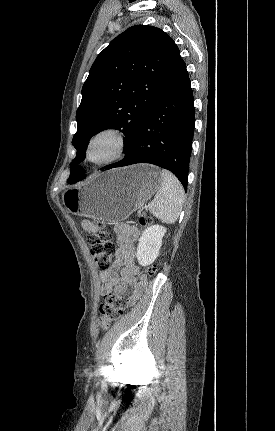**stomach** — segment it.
Masks as SVG:
<instances>
[{"label":"stomach","instance_id":"stomach-1","mask_svg":"<svg viewBox=\"0 0 275 431\" xmlns=\"http://www.w3.org/2000/svg\"><path fill=\"white\" fill-rule=\"evenodd\" d=\"M161 183L159 168L137 164L106 171L82 187L67 189L62 201L73 215L118 222L144 206Z\"/></svg>","mask_w":275,"mask_h":431}]
</instances>
